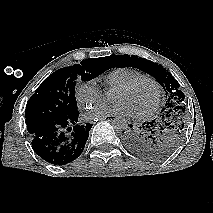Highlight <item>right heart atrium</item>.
Returning a JSON list of instances; mask_svg holds the SVG:
<instances>
[{
  "label": "right heart atrium",
  "mask_w": 213,
  "mask_h": 213,
  "mask_svg": "<svg viewBox=\"0 0 213 213\" xmlns=\"http://www.w3.org/2000/svg\"><path fill=\"white\" fill-rule=\"evenodd\" d=\"M75 98L80 106L88 108L103 99V91L95 80L80 81L75 88Z\"/></svg>",
  "instance_id": "obj_1"
}]
</instances>
